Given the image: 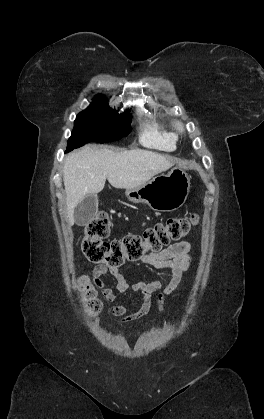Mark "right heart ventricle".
<instances>
[{
  "mask_svg": "<svg viewBox=\"0 0 264 419\" xmlns=\"http://www.w3.org/2000/svg\"><path fill=\"white\" fill-rule=\"evenodd\" d=\"M140 142L147 147L164 151H171L176 146V139L169 122L156 113L143 126Z\"/></svg>",
  "mask_w": 264,
  "mask_h": 419,
  "instance_id": "e07e8e85",
  "label": "right heart ventricle"
}]
</instances>
